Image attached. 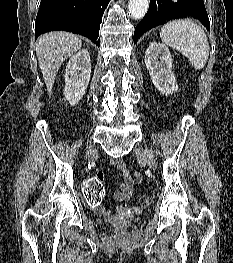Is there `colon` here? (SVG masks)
<instances>
[{"label": "colon", "mask_w": 233, "mask_h": 263, "mask_svg": "<svg viewBox=\"0 0 233 263\" xmlns=\"http://www.w3.org/2000/svg\"><path fill=\"white\" fill-rule=\"evenodd\" d=\"M106 171H94V177L84 178L82 186L84 187V198L88 200L87 208H98L104 195L102 186L103 176H106ZM151 203V198L143 195L140 198V204L143 207H148Z\"/></svg>", "instance_id": "5ec220e1"}]
</instances>
